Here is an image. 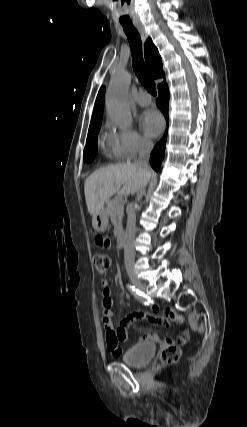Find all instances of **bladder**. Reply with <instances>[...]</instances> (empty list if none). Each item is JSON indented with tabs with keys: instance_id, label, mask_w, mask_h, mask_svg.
<instances>
[{
	"instance_id": "1",
	"label": "bladder",
	"mask_w": 247,
	"mask_h": 427,
	"mask_svg": "<svg viewBox=\"0 0 247 427\" xmlns=\"http://www.w3.org/2000/svg\"><path fill=\"white\" fill-rule=\"evenodd\" d=\"M156 353V345L152 342H139L125 351L121 360L131 367H142L148 364Z\"/></svg>"
}]
</instances>
